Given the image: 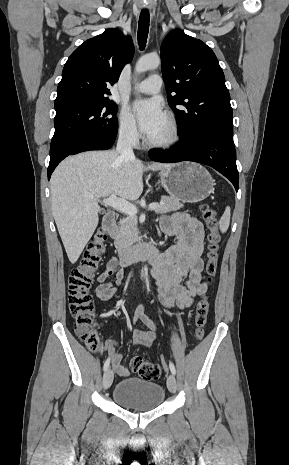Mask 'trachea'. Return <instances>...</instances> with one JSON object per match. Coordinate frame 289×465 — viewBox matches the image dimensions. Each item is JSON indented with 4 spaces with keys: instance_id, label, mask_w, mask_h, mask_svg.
<instances>
[{
    "instance_id": "1",
    "label": "trachea",
    "mask_w": 289,
    "mask_h": 465,
    "mask_svg": "<svg viewBox=\"0 0 289 465\" xmlns=\"http://www.w3.org/2000/svg\"><path fill=\"white\" fill-rule=\"evenodd\" d=\"M149 12L144 10L141 12L138 23V33L137 40L140 50H143L146 47L148 31H149Z\"/></svg>"
}]
</instances>
